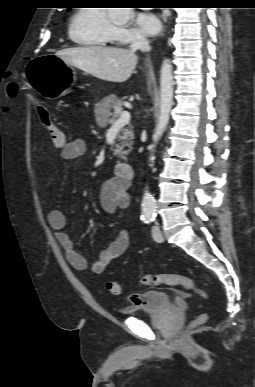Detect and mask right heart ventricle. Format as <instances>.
I'll use <instances>...</instances> for the list:
<instances>
[{"label":"right heart ventricle","mask_w":255,"mask_h":387,"mask_svg":"<svg viewBox=\"0 0 255 387\" xmlns=\"http://www.w3.org/2000/svg\"><path fill=\"white\" fill-rule=\"evenodd\" d=\"M114 26L104 8L84 7L76 10L71 16L68 35L80 46L105 47L114 42Z\"/></svg>","instance_id":"1"}]
</instances>
